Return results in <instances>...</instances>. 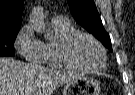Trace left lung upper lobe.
<instances>
[{
  "mask_svg": "<svg viewBox=\"0 0 135 95\" xmlns=\"http://www.w3.org/2000/svg\"><path fill=\"white\" fill-rule=\"evenodd\" d=\"M71 13L75 20L88 32L93 34L110 51L111 40L105 31L100 15L93 0H67Z\"/></svg>",
  "mask_w": 135,
  "mask_h": 95,
  "instance_id": "left-lung-upper-lobe-1",
  "label": "left lung upper lobe"
}]
</instances>
